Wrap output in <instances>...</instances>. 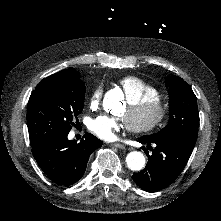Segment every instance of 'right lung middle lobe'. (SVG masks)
<instances>
[{
    "mask_svg": "<svg viewBox=\"0 0 221 221\" xmlns=\"http://www.w3.org/2000/svg\"><path fill=\"white\" fill-rule=\"evenodd\" d=\"M85 85L79 74H53L32 92L27 106L30 144L68 135L84 106Z\"/></svg>",
    "mask_w": 221,
    "mask_h": 221,
    "instance_id": "1",
    "label": "right lung middle lobe"
}]
</instances>
